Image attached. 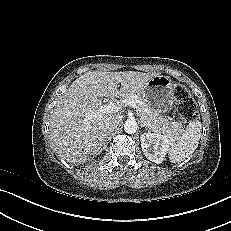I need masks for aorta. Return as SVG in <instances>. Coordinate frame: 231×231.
<instances>
[{"label":"aorta","instance_id":"obj_1","mask_svg":"<svg viewBox=\"0 0 231 231\" xmlns=\"http://www.w3.org/2000/svg\"><path fill=\"white\" fill-rule=\"evenodd\" d=\"M137 129H138L137 122L135 120H133V119H128L124 123V130L128 134L135 133L137 131Z\"/></svg>","mask_w":231,"mask_h":231}]
</instances>
